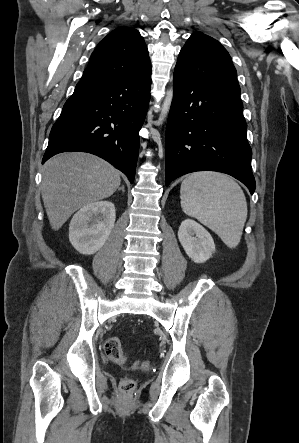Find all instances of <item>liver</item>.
<instances>
[{"label":"liver","instance_id":"1","mask_svg":"<svg viewBox=\"0 0 299 443\" xmlns=\"http://www.w3.org/2000/svg\"><path fill=\"white\" fill-rule=\"evenodd\" d=\"M120 172L105 160L83 152H66L43 166L41 194L53 230L85 205L110 197Z\"/></svg>","mask_w":299,"mask_h":443}]
</instances>
